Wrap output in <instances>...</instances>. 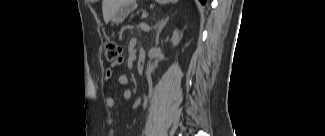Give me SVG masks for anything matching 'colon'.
Segmentation results:
<instances>
[{"label": "colon", "instance_id": "5ec220e1", "mask_svg": "<svg viewBox=\"0 0 325 136\" xmlns=\"http://www.w3.org/2000/svg\"><path fill=\"white\" fill-rule=\"evenodd\" d=\"M105 55L109 61L121 60L122 49L115 42H107L105 44Z\"/></svg>", "mask_w": 325, "mask_h": 136}]
</instances>
